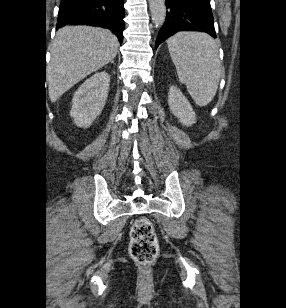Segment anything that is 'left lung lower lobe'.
I'll use <instances>...</instances> for the list:
<instances>
[{
	"label": "left lung lower lobe",
	"instance_id": "1",
	"mask_svg": "<svg viewBox=\"0 0 286 308\" xmlns=\"http://www.w3.org/2000/svg\"><path fill=\"white\" fill-rule=\"evenodd\" d=\"M165 23L155 48L178 31H203L216 38L210 0H166Z\"/></svg>",
	"mask_w": 286,
	"mask_h": 308
}]
</instances>
